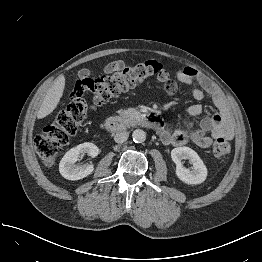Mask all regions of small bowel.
<instances>
[{
    "mask_svg": "<svg viewBox=\"0 0 262 262\" xmlns=\"http://www.w3.org/2000/svg\"><path fill=\"white\" fill-rule=\"evenodd\" d=\"M176 79L191 87L192 95L196 100H202L210 96L217 112L205 116L201 119L199 126L193 131H186L179 124H176L172 130L164 126H158L156 129L160 140L166 145L179 146L191 141L196 145L208 148L213 140L227 139L234 137V131L231 125L228 102L226 98L219 93L196 69L185 67L175 74ZM164 92L166 95H174L177 91V83L172 80L164 81ZM203 114V107L199 104H193L186 109L187 117L195 118Z\"/></svg>",
    "mask_w": 262,
    "mask_h": 262,
    "instance_id": "small-bowel-1",
    "label": "small bowel"
}]
</instances>
